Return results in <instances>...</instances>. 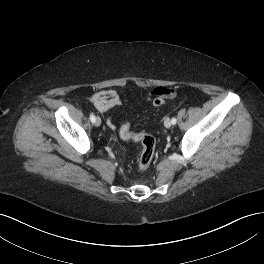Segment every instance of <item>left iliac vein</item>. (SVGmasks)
I'll use <instances>...</instances> for the list:
<instances>
[{
	"label": "left iliac vein",
	"instance_id": "left-iliac-vein-1",
	"mask_svg": "<svg viewBox=\"0 0 264 264\" xmlns=\"http://www.w3.org/2000/svg\"><path fill=\"white\" fill-rule=\"evenodd\" d=\"M164 125L165 127L170 128L172 126L171 120L169 118L165 119Z\"/></svg>",
	"mask_w": 264,
	"mask_h": 264
}]
</instances>
